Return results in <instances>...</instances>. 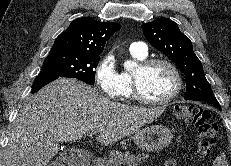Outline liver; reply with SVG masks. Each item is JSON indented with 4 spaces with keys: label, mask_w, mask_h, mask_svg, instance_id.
Here are the masks:
<instances>
[{
    "label": "liver",
    "mask_w": 231,
    "mask_h": 166,
    "mask_svg": "<svg viewBox=\"0 0 231 166\" xmlns=\"http://www.w3.org/2000/svg\"><path fill=\"white\" fill-rule=\"evenodd\" d=\"M164 107H133L100 95L76 79L59 78L33 95L9 133L5 166H47L60 142L98 132L112 145L136 133L164 112Z\"/></svg>",
    "instance_id": "obj_1"
}]
</instances>
